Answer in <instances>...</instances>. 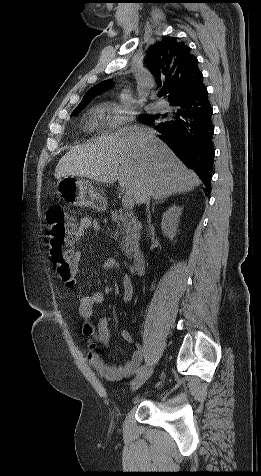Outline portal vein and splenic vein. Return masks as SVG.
<instances>
[{"label": "portal vein and splenic vein", "instance_id": "1", "mask_svg": "<svg viewBox=\"0 0 261 476\" xmlns=\"http://www.w3.org/2000/svg\"><path fill=\"white\" fill-rule=\"evenodd\" d=\"M122 205L125 209H132L134 206V200L129 192H126L122 198Z\"/></svg>", "mask_w": 261, "mask_h": 476}]
</instances>
